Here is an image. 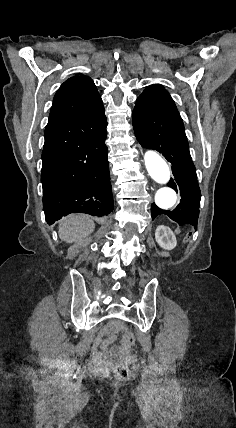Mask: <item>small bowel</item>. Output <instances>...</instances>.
Returning a JSON list of instances; mask_svg holds the SVG:
<instances>
[{
  "label": "small bowel",
  "instance_id": "obj_1",
  "mask_svg": "<svg viewBox=\"0 0 236 428\" xmlns=\"http://www.w3.org/2000/svg\"><path fill=\"white\" fill-rule=\"evenodd\" d=\"M124 331V324L117 319L110 321L100 330L92 347V354L100 365L108 367L115 358L126 357L125 348L114 344L118 335Z\"/></svg>",
  "mask_w": 236,
  "mask_h": 428
}]
</instances>
